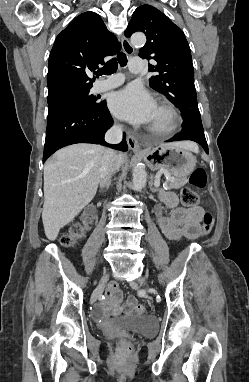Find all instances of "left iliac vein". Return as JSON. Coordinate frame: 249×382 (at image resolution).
I'll use <instances>...</instances> for the list:
<instances>
[{"label":"left iliac vein","instance_id":"1","mask_svg":"<svg viewBox=\"0 0 249 382\" xmlns=\"http://www.w3.org/2000/svg\"><path fill=\"white\" fill-rule=\"evenodd\" d=\"M138 282H139L141 285H145V284H146V278H145V277H141V278H139Z\"/></svg>","mask_w":249,"mask_h":382}]
</instances>
